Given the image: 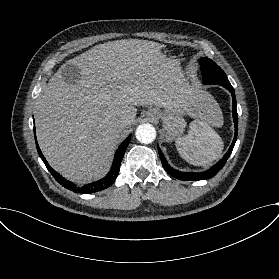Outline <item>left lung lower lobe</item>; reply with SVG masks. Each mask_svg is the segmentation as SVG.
<instances>
[{
  "label": "left lung lower lobe",
  "mask_w": 279,
  "mask_h": 279,
  "mask_svg": "<svg viewBox=\"0 0 279 279\" xmlns=\"http://www.w3.org/2000/svg\"><path fill=\"white\" fill-rule=\"evenodd\" d=\"M227 90H229L232 94V113H233V120L235 124V135L233 142L231 146L229 147V150L227 153L223 156V158L215 164L212 168H210L207 171L200 172V173H192V172H180L178 170L173 169L166 161L163 153L161 152L160 148L158 147L159 151V156L162 162V165L164 169L173 177L180 179V180H185V181H192V180H204V179H209L216 175L225 165L227 159L229 158L233 147L235 145L236 139H237V132H238V115H237V110H236V98H235V92L232 86L225 87Z\"/></svg>",
  "instance_id": "left-lung-lower-lobe-1"
}]
</instances>
